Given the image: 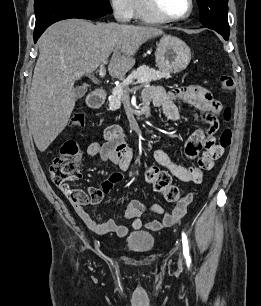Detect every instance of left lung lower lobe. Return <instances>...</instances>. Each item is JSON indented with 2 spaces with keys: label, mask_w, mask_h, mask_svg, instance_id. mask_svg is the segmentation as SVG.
<instances>
[{
  "label": "left lung lower lobe",
  "mask_w": 261,
  "mask_h": 306,
  "mask_svg": "<svg viewBox=\"0 0 261 306\" xmlns=\"http://www.w3.org/2000/svg\"><path fill=\"white\" fill-rule=\"evenodd\" d=\"M210 29H211V28H210ZM213 30H215L216 32H218L219 34H221L225 40H228V38H229V32H223V31L217 30V29H213Z\"/></svg>",
  "instance_id": "obj_1"
}]
</instances>
